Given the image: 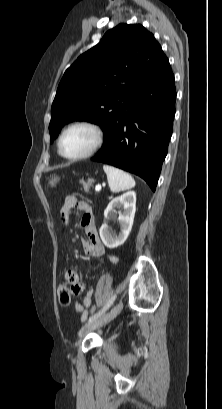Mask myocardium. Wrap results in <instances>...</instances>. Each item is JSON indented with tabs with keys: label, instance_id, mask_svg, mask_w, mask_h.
Masks as SVG:
<instances>
[{
	"label": "myocardium",
	"instance_id": "f54148a6",
	"mask_svg": "<svg viewBox=\"0 0 222 409\" xmlns=\"http://www.w3.org/2000/svg\"><path fill=\"white\" fill-rule=\"evenodd\" d=\"M76 127H86V128L91 129L95 133V142L93 146L87 152L77 155V156H68V155H65L62 151V141H63L65 134L69 130L76 128ZM104 141H105V132H104V129L101 127V125L93 121H77V122H74L68 125L62 131L58 139V152L63 158L67 160H71V161L82 160V159L89 158L93 156L95 153H97L103 146Z\"/></svg>",
	"mask_w": 222,
	"mask_h": 409
}]
</instances>
